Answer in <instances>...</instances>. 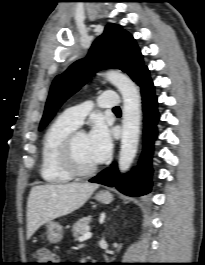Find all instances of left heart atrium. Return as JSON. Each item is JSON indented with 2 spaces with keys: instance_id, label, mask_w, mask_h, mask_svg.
Listing matches in <instances>:
<instances>
[{
  "instance_id": "obj_1",
  "label": "left heart atrium",
  "mask_w": 205,
  "mask_h": 265,
  "mask_svg": "<svg viewBox=\"0 0 205 265\" xmlns=\"http://www.w3.org/2000/svg\"><path fill=\"white\" fill-rule=\"evenodd\" d=\"M88 146L96 163L104 161L110 154L112 140L108 127L102 121H96L87 135Z\"/></svg>"
}]
</instances>
